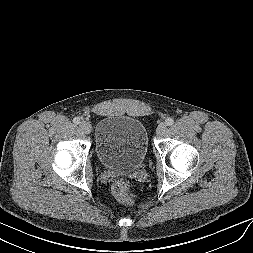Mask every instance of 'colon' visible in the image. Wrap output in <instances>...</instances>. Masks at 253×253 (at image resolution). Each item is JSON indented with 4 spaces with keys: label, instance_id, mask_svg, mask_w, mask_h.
Masks as SVG:
<instances>
[{
    "label": "colon",
    "instance_id": "1",
    "mask_svg": "<svg viewBox=\"0 0 253 253\" xmlns=\"http://www.w3.org/2000/svg\"><path fill=\"white\" fill-rule=\"evenodd\" d=\"M113 196L121 203L125 205L133 204L135 195L131 189L129 180L121 178L116 180L111 188Z\"/></svg>",
    "mask_w": 253,
    "mask_h": 253
}]
</instances>
